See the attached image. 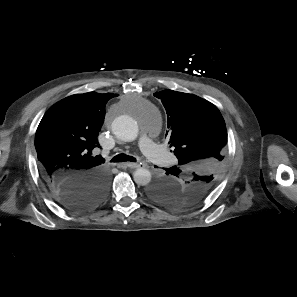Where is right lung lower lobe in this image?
Here are the masks:
<instances>
[{"label": "right lung lower lobe", "mask_w": 297, "mask_h": 297, "mask_svg": "<svg viewBox=\"0 0 297 297\" xmlns=\"http://www.w3.org/2000/svg\"><path fill=\"white\" fill-rule=\"evenodd\" d=\"M109 178L106 172H92L78 180L56 183L50 188L56 201L70 210H89L107 195Z\"/></svg>", "instance_id": "right-lung-lower-lobe-1"}]
</instances>
